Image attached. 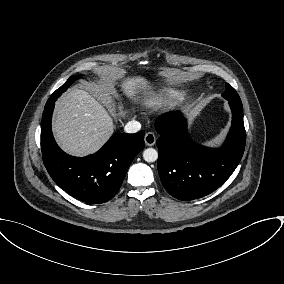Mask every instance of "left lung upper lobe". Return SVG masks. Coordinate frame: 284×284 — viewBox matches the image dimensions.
<instances>
[{
	"label": "left lung upper lobe",
	"instance_id": "left-lung-upper-lobe-1",
	"mask_svg": "<svg viewBox=\"0 0 284 284\" xmlns=\"http://www.w3.org/2000/svg\"><path fill=\"white\" fill-rule=\"evenodd\" d=\"M222 96L227 99L228 101H233L237 103H241L240 97L235 91V89L230 85L226 84V90L222 94Z\"/></svg>",
	"mask_w": 284,
	"mask_h": 284
}]
</instances>
